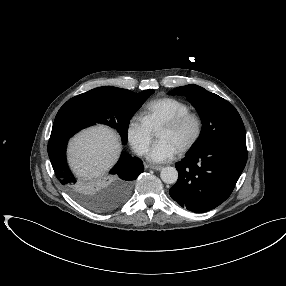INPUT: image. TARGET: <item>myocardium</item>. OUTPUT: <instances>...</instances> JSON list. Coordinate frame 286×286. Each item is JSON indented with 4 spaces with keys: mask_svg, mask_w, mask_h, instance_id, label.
Segmentation results:
<instances>
[{
    "mask_svg": "<svg viewBox=\"0 0 286 286\" xmlns=\"http://www.w3.org/2000/svg\"><path fill=\"white\" fill-rule=\"evenodd\" d=\"M189 121L194 122L195 133H194L193 137L191 138V140L179 150L180 153H186V152L190 151L199 142V140L202 136V133H203V120H202L201 116L198 113L189 111L187 113H184L182 115H179V116H176V117H173V118L167 120L159 128V130L164 129V128H168V129L177 128V127L184 125L185 123H187Z\"/></svg>",
    "mask_w": 286,
    "mask_h": 286,
    "instance_id": "f54148a6",
    "label": "myocardium"
}]
</instances>
